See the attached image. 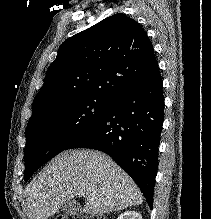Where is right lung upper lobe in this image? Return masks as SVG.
<instances>
[{
	"label": "right lung upper lobe",
	"mask_w": 211,
	"mask_h": 219,
	"mask_svg": "<svg viewBox=\"0 0 211 219\" xmlns=\"http://www.w3.org/2000/svg\"><path fill=\"white\" fill-rule=\"evenodd\" d=\"M157 66L142 27L125 14L112 15L62 43L30 120L81 98L113 100L149 78Z\"/></svg>",
	"instance_id": "obj_1"
}]
</instances>
